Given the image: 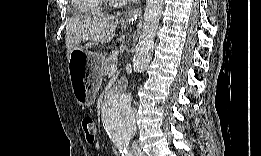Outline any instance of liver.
I'll return each mask as SVG.
<instances>
[{"instance_id": "1", "label": "liver", "mask_w": 261, "mask_h": 156, "mask_svg": "<svg viewBox=\"0 0 261 156\" xmlns=\"http://www.w3.org/2000/svg\"><path fill=\"white\" fill-rule=\"evenodd\" d=\"M118 18L113 15H81L71 17L66 24V54L69 61L71 52L82 41L109 43L115 34Z\"/></svg>"}]
</instances>
